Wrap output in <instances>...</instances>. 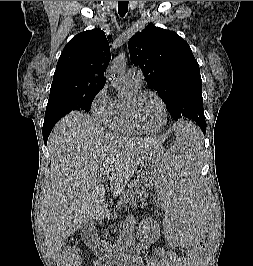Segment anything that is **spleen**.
Here are the masks:
<instances>
[{
	"label": "spleen",
	"mask_w": 253,
	"mask_h": 266,
	"mask_svg": "<svg viewBox=\"0 0 253 266\" xmlns=\"http://www.w3.org/2000/svg\"><path fill=\"white\" fill-rule=\"evenodd\" d=\"M169 153L158 160L160 176L156 177L153 194L161 199L164 227V248H201L205 242L207 220L213 216V207H205L204 190H200L203 177L199 176L204 168L206 156V135L194 123H173Z\"/></svg>",
	"instance_id": "obj_1"
}]
</instances>
